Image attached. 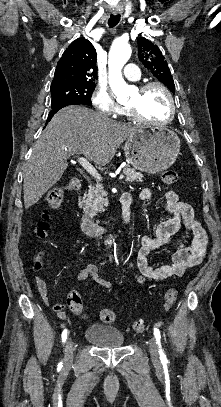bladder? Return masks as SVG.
Returning <instances> with one entry per match:
<instances>
[{
  "instance_id": "1",
  "label": "bladder",
  "mask_w": 221,
  "mask_h": 407,
  "mask_svg": "<svg viewBox=\"0 0 221 407\" xmlns=\"http://www.w3.org/2000/svg\"><path fill=\"white\" fill-rule=\"evenodd\" d=\"M85 339L100 348H114L123 345L125 336L111 325L93 324L85 330Z\"/></svg>"
}]
</instances>
